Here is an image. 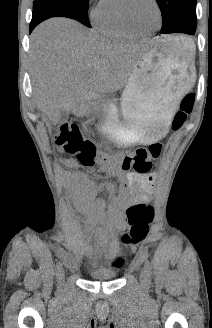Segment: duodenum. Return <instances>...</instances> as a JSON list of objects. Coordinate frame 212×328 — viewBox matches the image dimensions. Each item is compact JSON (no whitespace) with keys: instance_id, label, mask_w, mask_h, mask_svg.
<instances>
[{"instance_id":"410a0bca","label":"duodenum","mask_w":212,"mask_h":328,"mask_svg":"<svg viewBox=\"0 0 212 328\" xmlns=\"http://www.w3.org/2000/svg\"><path fill=\"white\" fill-rule=\"evenodd\" d=\"M92 94L85 93L83 94L75 103L74 111L76 113H81L84 110L85 105L92 100Z\"/></svg>"}]
</instances>
